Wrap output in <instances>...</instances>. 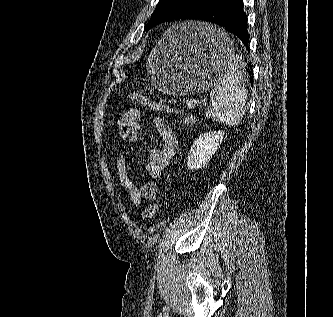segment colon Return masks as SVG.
Masks as SVG:
<instances>
[{
    "label": "colon",
    "instance_id": "1",
    "mask_svg": "<svg viewBox=\"0 0 333 317\" xmlns=\"http://www.w3.org/2000/svg\"><path fill=\"white\" fill-rule=\"evenodd\" d=\"M129 98L139 104H142L144 106H147L151 109L163 112V113H173V114H179L183 117L184 122L187 126H192L194 123V119L190 114H187L181 110H178L176 108H172L169 107L165 104H162L142 93L139 92H133L131 94H129ZM162 202H156L154 204H151L150 206H148L144 212H143V218L145 220H150L152 219V217L155 215V213L157 212V210L159 209V207L161 206Z\"/></svg>",
    "mask_w": 333,
    "mask_h": 317
}]
</instances>
